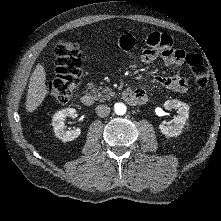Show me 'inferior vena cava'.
I'll return each mask as SVG.
<instances>
[{
	"label": "inferior vena cava",
	"mask_w": 221,
	"mask_h": 221,
	"mask_svg": "<svg viewBox=\"0 0 221 221\" xmlns=\"http://www.w3.org/2000/svg\"><path fill=\"white\" fill-rule=\"evenodd\" d=\"M96 114L99 117L104 118L110 114V107L107 105H99L96 107Z\"/></svg>",
	"instance_id": "602c4592"
}]
</instances>
